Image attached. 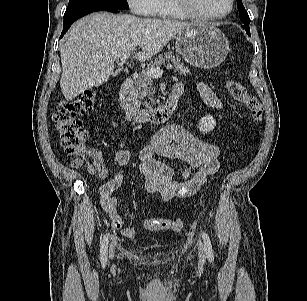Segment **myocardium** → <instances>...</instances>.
I'll return each instance as SVG.
<instances>
[{
    "mask_svg": "<svg viewBox=\"0 0 307 301\" xmlns=\"http://www.w3.org/2000/svg\"><path fill=\"white\" fill-rule=\"evenodd\" d=\"M174 8L179 11L180 13L184 14L185 16L196 19V20H203V21H213V20H220L228 15H230L235 7V0H230V6L229 9L222 13L217 15H210L201 13L198 10H196L192 6L191 0H170Z\"/></svg>",
    "mask_w": 307,
    "mask_h": 301,
    "instance_id": "1",
    "label": "myocardium"
}]
</instances>
